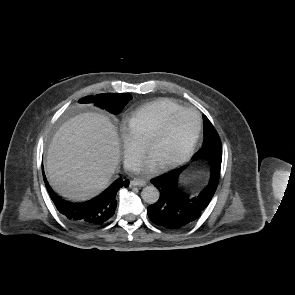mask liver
I'll return each instance as SVG.
<instances>
[{
	"mask_svg": "<svg viewBox=\"0 0 295 295\" xmlns=\"http://www.w3.org/2000/svg\"><path fill=\"white\" fill-rule=\"evenodd\" d=\"M116 129L99 113H82L65 122L48 149L46 170L62 196L88 200L108 185L119 163Z\"/></svg>",
	"mask_w": 295,
	"mask_h": 295,
	"instance_id": "liver-1",
	"label": "liver"
}]
</instances>
